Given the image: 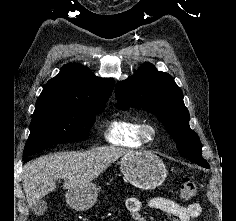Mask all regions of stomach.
<instances>
[{
  "instance_id": "1",
  "label": "stomach",
  "mask_w": 236,
  "mask_h": 221,
  "mask_svg": "<svg viewBox=\"0 0 236 221\" xmlns=\"http://www.w3.org/2000/svg\"><path fill=\"white\" fill-rule=\"evenodd\" d=\"M120 169L124 178L141 190H152L160 186L167 176L162 160L148 151L130 152L122 156ZM98 197V189L93 183L73 188L66 193V202L78 211L93 206Z\"/></svg>"
}]
</instances>
